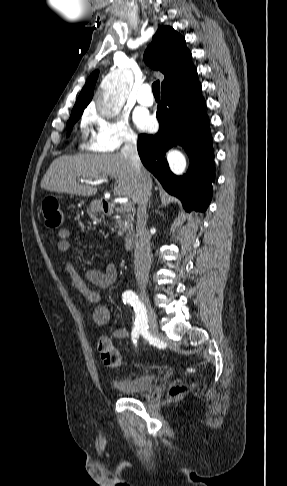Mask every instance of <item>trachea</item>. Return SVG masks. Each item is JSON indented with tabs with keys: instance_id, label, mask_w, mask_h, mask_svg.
<instances>
[{
	"instance_id": "1",
	"label": "trachea",
	"mask_w": 287,
	"mask_h": 486,
	"mask_svg": "<svg viewBox=\"0 0 287 486\" xmlns=\"http://www.w3.org/2000/svg\"><path fill=\"white\" fill-rule=\"evenodd\" d=\"M152 91H153L154 95H160V82H159V80L155 81L152 84Z\"/></svg>"
}]
</instances>
